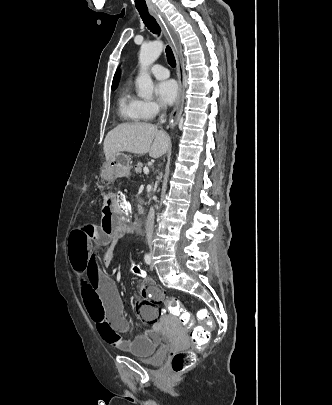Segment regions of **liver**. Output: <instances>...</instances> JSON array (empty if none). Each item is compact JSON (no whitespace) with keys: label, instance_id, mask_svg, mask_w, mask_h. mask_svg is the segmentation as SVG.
Segmentation results:
<instances>
[{"label":"liver","instance_id":"6515ba94","mask_svg":"<svg viewBox=\"0 0 332 405\" xmlns=\"http://www.w3.org/2000/svg\"><path fill=\"white\" fill-rule=\"evenodd\" d=\"M171 144L169 135L156 125L144 122L124 123L111 130L104 140V154L109 161L116 153L130 152L152 158L163 156Z\"/></svg>","mask_w":332,"mask_h":405}]
</instances>
